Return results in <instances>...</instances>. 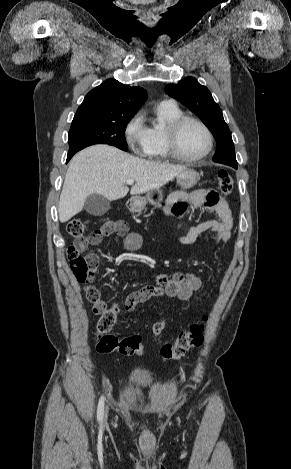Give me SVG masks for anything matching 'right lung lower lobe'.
Returning a JSON list of instances; mask_svg holds the SVG:
<instances>
[{"instance_id": "obj_1", "label": "right lung lower lobe", "mask_w": 291, "mask_h": 469, "mask_svg": "<svg viewBox=\"0 0 291 469\" xmlns=\"http://www.w3.org/2000/svg\"><path fill=\"white\" fill-rule=\"evenodd\" d=\"M75 153H76V152L68 153V155H67V161H66V162H68V161L72 158V156H73Z\"/></svg>"}]
</instances>
